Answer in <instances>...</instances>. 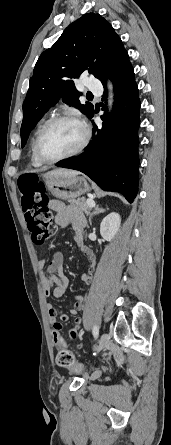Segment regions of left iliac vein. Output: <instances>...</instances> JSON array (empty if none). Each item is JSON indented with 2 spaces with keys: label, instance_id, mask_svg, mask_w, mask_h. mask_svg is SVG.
Wrapping results in <instances>:
<instances>
[{
  "label": "left iliac vein",
  "instance_id": "1",
  "mask_svg": "<svg viewBox=\"0 0 171 445\" xmlns=\"http://www.w3.org/2000/svg\"><path fill=\"white\" fill-rule=\"evenodd\" d=\"M109 343H110V337L108 336V334L106 333L102 334L99 340V345L97 347V352L103 350L105 347L109 345Z\"/></svg>",
  "mask_w": 171,
  "mask_h": 445
}]
</instances>
